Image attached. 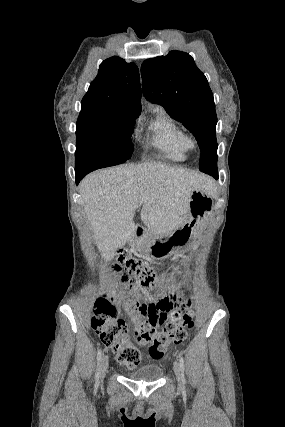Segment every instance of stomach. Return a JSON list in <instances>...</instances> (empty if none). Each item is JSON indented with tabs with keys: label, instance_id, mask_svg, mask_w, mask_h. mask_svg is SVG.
<instances>
[{
	"label": "stomach",
	"instance_id": "stomach-1",
	"mask_svg": "<svg viewBox=\"0 0 285 427\" xmlns=\"http://www.w3.org/2000/svg\"><path fill=\"white\" fill-rule=\"evenodd\" d=\"M214 200L204 190H194L189 196L187 220L170 234H153L137 246L152 257H165L188 245L204 221L212 215Z\"/></svg>",
	"mask_w": 285,
	"mask_h": 427
}]
</instances>
